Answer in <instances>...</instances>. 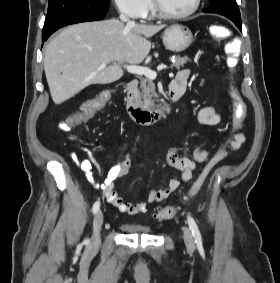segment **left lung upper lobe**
<instances>
[{"instance_id": "1", "label": "left lung upper lobe", "mask_w": 280, "mask_h": 283, "mask_svg": "<svg viewBox=\"0 0 280 283\" xmlns=\"http://www.w3.org/2000/svg\"><path fill=\"white\" fill-rule=\"evenodd\" d=\"M211 7L205 8L204 13H217L227 18L241 22V15L236 0H209Z\"/></svg>"}]
</instances>
